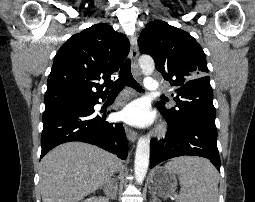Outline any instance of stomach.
<instances>
[{
    "label": "stomach",
    "mask_w": 255,
    "mask_h": 202,
    "mask_svg": "<svg viewBox=\"0 0 255 202\" xmlns=\"http://www.w3.org/2000/svg\"><path fill=\"white\" fill-rule=\"evenodd\" d=\"M176 189V176L165 167H157L150 173L149 190L153 195L168 198L176 194Z\"/></svg>",
    "instance_id": "1"
}]
</instances>
